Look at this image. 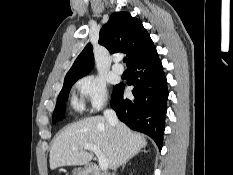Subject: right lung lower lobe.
<instances>
[{
	"instance_id": "right-lung-lower-lobe-1",
	"label": "right lung lower lobe",
	"mask_w": 233,
	"mask_h": 175,
	"mask_svg": "<svg viewBox=\"0 0 233 175\" xmlns=\"http://www.w3.org/2000/svg\"><path fill=\"white\" fill-rule=\"evenodd\" d=\"M134 99H124L120 83L112 94L111 107L118 118L131 129L150 136L162 148L167 112L168 89L161 61L155 50L129 67Z\"/></svg>"
}]
</instances>
